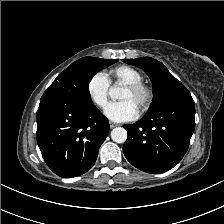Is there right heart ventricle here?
<instances>
[{
    "label": "right heart ventricle",
    "mask_w": 224,
    "mask_h": 224,
    "mask_svg": "<svg viewBox=\"0 0 224 224\" xmlns=\"http://www.w3.org/2000/svg\"><path fill=\"white\" fill-rule=\"evenodd\" d=\"M106 76L110 83L132 84L143 81L142 73L134 67L119 65L110 69Z\"/></svg>",
    "instance_id": "e07e8e85"
}]
</instances>
